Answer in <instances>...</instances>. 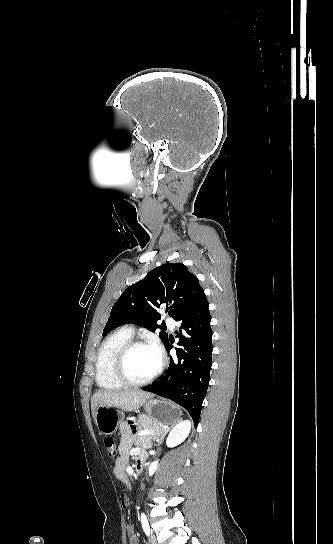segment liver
I'll list each match as a JSON object with an SVG mask.
<instances>
[{"instance_id": "obj_1", "label": "liver", "mask_w": 333, "mask_h": 544, "mask_svg": "<svg viewBox=\"0 0 333 544\" xmlns=\"http://www.w3.org/2000/svg\"><path fill=\"white\" fill-rule=\"evenodd\" d=\"M152 395L141 390L98 391L91 398V410L95 419L96 408L99 405H109L121 410L132 412L138 410Z\"/></svg>"}]
</instances>
